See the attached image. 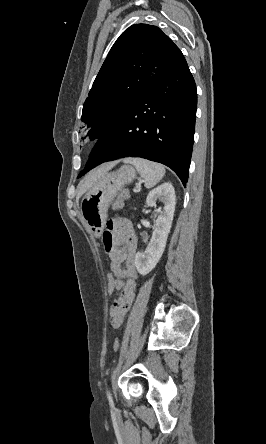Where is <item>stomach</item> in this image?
Returning a JSON list of instances; mask_svg holds the SVG:
<instances>
[{
  "label": "stomach",
  "mask_w": 266,
  "mask_h": 444,
  "mask_svg": "<svg viewBox=\"0 0 266 444\" xmlns=\"http://www.w3.org/2000/svg\"><path fill=\"white\" fill-rule=\"evenodd\" d=\"M135 178V169L130 165H123L118 170L103 175L83 197L81 216L94 235L103 230L108 208L118 191L132 183Z\"/></svg>",
  "instance_id": "obj_1"
}]
</instances>
